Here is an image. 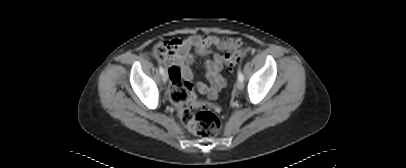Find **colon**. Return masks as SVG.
Listing matches in <instances>:
<instances>
[{"instance_id": "1", "label": "colon", "mask_w": 406, "mask_h": 168, "mask_svg": "<svg viewBox=\"0 0 406 168\" xmlns=\"http://www.w3.org/2000/svg\"><path fill=\"white\" fill-rule=\"evenodd\" d=\"M170 52L168 43L158 44L154 49V55L160 60H164ZM246 50L241 49L225 55L224 64L228 72L241 62L245 57ZM171 75L170 98L177 107L180 122L201 138L209 139L217 136L222 124L217 116L220 107L209 102L199 100L192 93L190 83L182 84L179 78V70L176 67L169 69Z\"/></svg>"}]
</instances>
